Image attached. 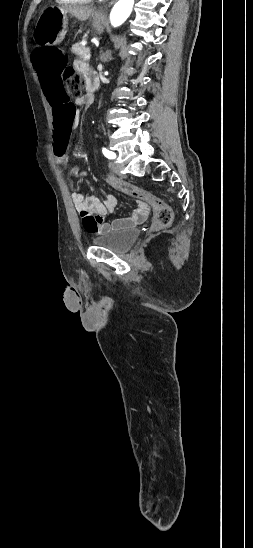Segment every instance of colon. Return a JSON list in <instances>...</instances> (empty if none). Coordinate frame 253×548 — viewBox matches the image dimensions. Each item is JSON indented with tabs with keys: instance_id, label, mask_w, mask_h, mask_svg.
Listing matches in <instances>:
<instances>
[{
	"instance_id": "obj_1",
	"label": "colon",
	"mask_w": 253,
	"mask_h": 548,
	"mask_svg": "<svg viewBox=\"0 0 253 548\" xmlns=\"http://www.w3.org/2000/svg\"><path fill=\"white\" fill-rule=\"evenodd\" d=\"M33 63L41 75L43 95L47 96V103L51 105L53 120L52 148L56 158L64 157V149L68 148L67 139L74 132V121L77 118L75 106L71 97L80 96L83 89V79L74 70L67 68V56L58 47H43L33 52ZM64 71V76H63ZM66 80L67 91L64 88ZM105 175L107 172H101ZM107 187L117 192L118 190L126 195L136 197L150 204L154 209L155 225L158 228L170 226L173 221L172 208L155 194L138 186L119 182L118 176L106 174Z\"/></svg>"
}]
</instances>
